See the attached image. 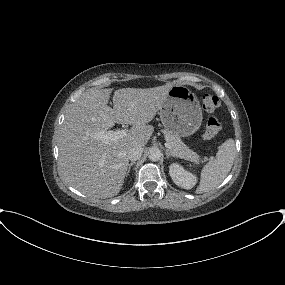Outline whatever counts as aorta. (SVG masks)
Masks as SVG:
<instances>
[{"label": "aorta", "mask_w": 285, "mask_h": 285, "mask_svg": "<svg viewBox=\"0 0 285 285\" xmlns=\"http://www.w3.org/2000/svg\"><path fill=\"white\" fill-rule=\"evenodd\" d=\"M161 155H162V153L158 148H151L148 151V158H149V160H151L153 162L160 160Z\"/></svg>", "instance_id": "1"}]
</instances>
